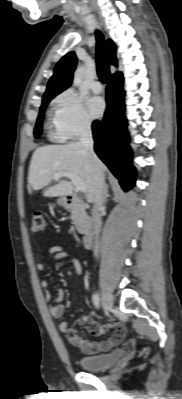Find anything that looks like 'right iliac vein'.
<instances>
[{
    "mask_svg": "<svg viewBox=\"0 0 182 399\" xmlns=\"http://www.w3.org/2000/svg\"><path fill=\"white\" fill-rule=\"evenodd\" d=\"M102 303H103L104 309H105L106 311H109V310L113 307V300H112V297H111V295H110L108 292H106V291L103 292V295H102Z\"/></svg>",
    "mask_w": 182,
    "mask_h": 399,
    "instance_id": "1",
    "label": "right iliac vein"
}]
</instances>
